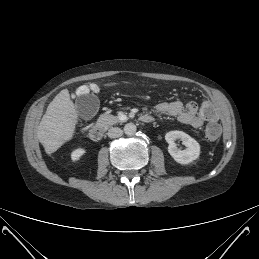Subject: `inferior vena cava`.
<instances>
[{
  "label": "inferior vena cava",
  "mask_w": 259,
  "mask_h": 259,
  "mask_svg": "<svg viewBox=\"0 0 259 259\" xmlns=\"http://www.w3.org/2000/svg\"><path fill=\"white\" fill-rule=\"evenodd\" d=\"M107 134L109 138H119L123 135V131L118 127H112L108 130Z\"/></svg>",
  "instance_id": "602c4592"
}]
</instances>
